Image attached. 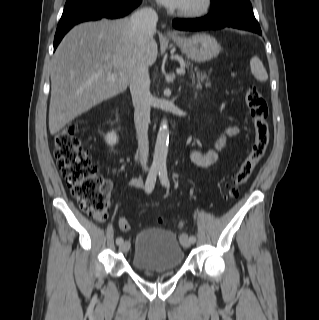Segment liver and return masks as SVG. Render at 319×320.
Segmentation results:
<instances>
[{
  "label": "liver",
  "mask_w": 319,
  "mask_h": 320,
  "mask_svg": "<svg viewBox=\"0 0 319 320\" xmlns=\"http://www.w3.org/2000/svg\"><path fill=\"white\" fill-rule=\"evenodd\" d=\"M156 41L141 45L129 18L87 22L63 38L53 57L49 130L54 135L93 106L124 92L136 63H155ZM116 75L113 80L109 76Z\"/></svg>",
  "instance_id": "6515ba94"
}]
</instances>
